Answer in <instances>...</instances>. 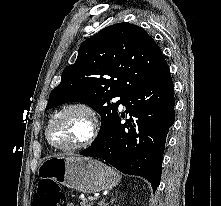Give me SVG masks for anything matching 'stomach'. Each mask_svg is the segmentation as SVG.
<instances>
[{"mask_svg": "<svg viewBox=\"0 0 221 206\" xmlns=\"http://www.w3.org/2000/svg\"><path fill=\"white\" fill-rule=\"evenodd\" d=\"M38 174L84 193L111 189L121 179L116 171L89 157H49L41 163Z\"/></svg>", "mask_w": 221, "mask_h": 206, "instance_id": "1", "label": "stomach"}]
</instances>
